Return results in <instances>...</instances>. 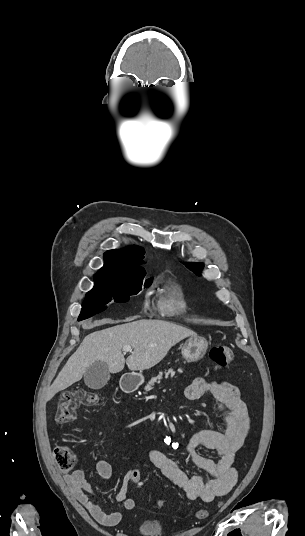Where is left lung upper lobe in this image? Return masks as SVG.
Instances as JSON below:
<instances>
[{
  "mask_svg": "<svg viewBox=\"0 0 305 536\" xmlns=\"http://www.w3.org/2000/svg\"><path fill=\"white\" fill-rule=\"evenodd\" d=\"M186 266L197 275H200V272L203 268L202 263H187Z\"/></svg>",
  "mask_w": 305,
  "mask_h": 536,
  "instance_id": "1",
  "label": "left lung upper lobe"
}]
</instances>
